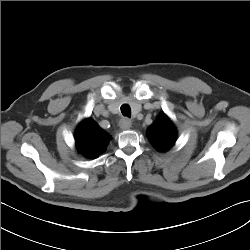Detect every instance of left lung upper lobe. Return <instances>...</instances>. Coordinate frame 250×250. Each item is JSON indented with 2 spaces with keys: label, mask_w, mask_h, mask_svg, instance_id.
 <instances>
[{
  "label": "left lung upper lobe",
  "mask_w": 250,
  "mask_h": 250,
  "mask_svg": "<svg viewBox=\"0 0 250 250\" xmlns=\"http://www.w3.org/2000/svg\"><path fill=\"white\" fill-rule=\"evenodd\" d=\"M147 136L157 150L165 151L174 145L176 130L171 120L161 113L157 120L149 126Z\"/></svg>",
  "instance_id": "left-lung-upper-lobe-1"
}]
</instances>
